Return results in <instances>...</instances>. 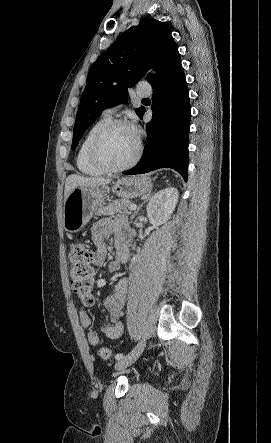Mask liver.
Wrapping results in <instances>:
<instances>
[{"instance_id": "1", "label": "liver", "mask_w": 271, "mask_h": 443, "mask_svg": "<svg viewBox=\"0 0 271 443\" xmlns=\"http://www.w3.org/2000/svg\"><path fill=\"white\" fill-rule=\"evenodd\" d=\"M111 180H105V178H81L76 174H71L66 178L65 190H64V202L67 200L68 194L74 190V188H98V186H106L110 184Z\"/></svg>"}]
</instances>
